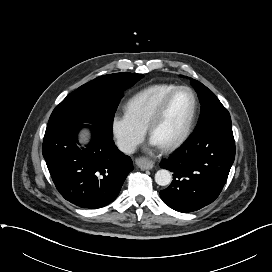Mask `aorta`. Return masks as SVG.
<instances>
[{"label": "aorta", "mask_w": 272, "mask_h": 272, "mask_svg": "<svg viewBox=\"0 0 272 272\" xmlns=\"http://www.w3.org/2000/svg\"><path fill=\"white\" fill-rule=\"evenodd\" d=\"M172 181L171 173L166 169L158 170L155 174V182L160 186H167Z\"/></svg>", "instance_id": "762f6f07"}]
</instances>
